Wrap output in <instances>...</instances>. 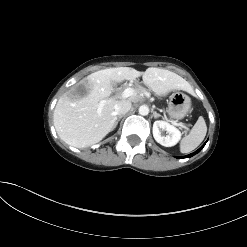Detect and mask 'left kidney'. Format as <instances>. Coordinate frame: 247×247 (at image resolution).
Here are the masks:
<instances>
[{
	"mask_svg": "<svg viewBox=\"0 0 247 247\" xmlns=\"http://www.w3.org/2000/svg\"><path fill=\"white\" fill-rule=\"evenodd\" d=\"M161 130H165L168 135L165 137L162 136ZM153 137L162 146L171 147L179 142L181 138V132L173 125H170L168 122L157 120L153 124Z\"/></svg>",
	"mask_w": 247,
	"mask_h": 247,
	"instance_id": "obj_1",
	"label": "left kidney"
}]
</instances>
